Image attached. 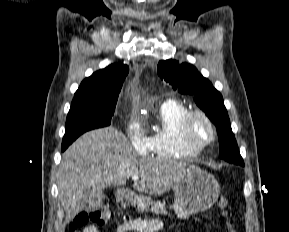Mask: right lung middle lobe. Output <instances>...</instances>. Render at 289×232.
I'll return each instance as SVG.
<instances>
[{
  "instance_id": "right-lung-middle-lobe-1",
  "label": "right lung middle lobe",
  "mask_w": 289,
  "mask_h": 232,
  "mask_svg": "<svg viewBox=\"0 0 289 232\" xmlns=\"http://www.w3.org/2000/svg\"><path fill=\"white\" fill-rule=\"evenodd\" d=\"M118 97H80L73 99L66 120L62 149L65 150L86 131L109 126Z\"/></svg>"
}]
</instances>
